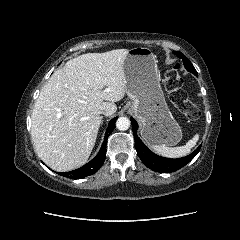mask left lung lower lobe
<instances>
[{
    "mask_svg": "<svg viewBox=\"0 0 240 240\" xmlns=\"http://www.w3.org/2000/svg\"><path fill=\"white\" fill-rule=\"evenodd\" d=\"M131 123L133 126V134H134L135 147H136L137 154L141 159V161L151 170H154L160 173H169V172L176 171L182 168L183 166H185L188 162H190L200 151L201 145L190 155L183 158L170 159V158L160 157L154 154L153 152H151L143 144L141 139L137 136L138 124L132 117H131Z\"/></svg>",
    "mask_w": 240,
    "mask_h": 240,
    "instance_id": "obj_1",
    "label": "left lung lower lobe"
}]
</instances>
